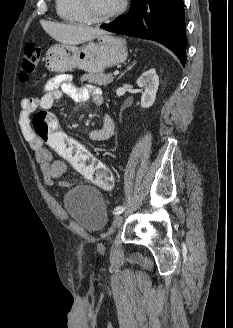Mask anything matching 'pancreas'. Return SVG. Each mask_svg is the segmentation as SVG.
<instances>
[{
	"instance_id": "obj_1",
	"label": "pancreas",
	"mask_w": 233,
	"mask_h": 328,
	"mask_svg": "<svg viewBox=\"0 0 233 328\" xmlns=\"http://www.w3.org/2000/svg\"><path fill=\"white\" fill-rule=\"evenodd\" d=\"M113 77L110 73H92L88 72L81 77V81H88L89 83H93L99 86H107L111 82H113Z\"/></svg>"
}]
</instances>
